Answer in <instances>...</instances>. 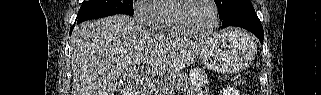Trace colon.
Returning a JSON list of instances; mask_svg holds the SVG:
<instances>
[{
    "label": "colon",
    "instance_id": "5ec220e1",
    "mask_svg": "<svg viewBox=\"0 0 321 95\" xmlns=\"http://www.w3.org/2000/svg\"><path fill=\"white\" fill-rule=\"evenodd\" d=\"M233 84L236 86H242L245 82V78L242 74H236L233 76Z\"/></svg>",
    "mask_w": 321,
    "mask_h": 95
}]
</instances>
